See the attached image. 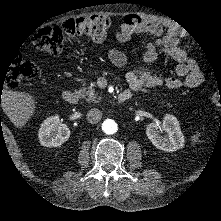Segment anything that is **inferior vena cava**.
Listing matches in <instances>:
<instances>
[{
    "instance_id": "602c4592",
    "label": "inferior vena cava",
    "mask_w": 221,
    "mask_h": 221,
    "mask_svg": "<svg viewBox=\"0 0 221 221\" xmlns=\"http://www.w3.org/2000/svg\"><path fill=\"white\" fill-rule=\"evenodd\" d=\"M102 119V111L97 108L90 109L87 112V121L91 124H97Z\"/></svg>"
}]
</instances>
